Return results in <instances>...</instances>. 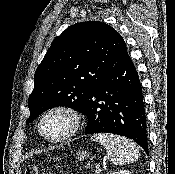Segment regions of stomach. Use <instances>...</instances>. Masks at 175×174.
<instances>
[{
  "mask_svg": "<svg viewBox=\"0 0 175 174\" xmlns=\"http://www.w3.org/2000/svg\"><path fill=\"white\" fill-rule=\"evenodd\" d=\"M89 157V153L88 152H86V151H82V152H78L77 153V159L78 160H85V159H87Z\"/></svg>",
  "mask_w": 175,
  "mask_h": 174,
  "instance_id": "obj_1",
  "label": "stomach"
}]
</instances>
